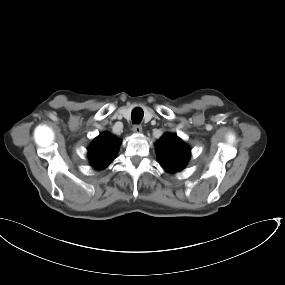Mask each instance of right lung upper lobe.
<instances>
[{
  "mask_svg": "<svg viewBox=\"0 0 285 285\" xmlns=\"http://www.w3.org/2000/svg\"><path fill=\"white\" fill-rule=\"evenodd\" d=\"M120 141L108 132L100 134L88 148L90 164L98 170L106 168L115 158Z\"/></svg>",
  "mask_w": 285,
  "mask_h": 285,
  "instance_id": "obj_1",
  "label": "right lung upper lobe"
}]
</instances>
